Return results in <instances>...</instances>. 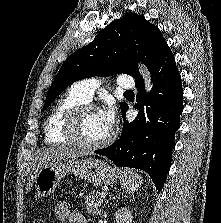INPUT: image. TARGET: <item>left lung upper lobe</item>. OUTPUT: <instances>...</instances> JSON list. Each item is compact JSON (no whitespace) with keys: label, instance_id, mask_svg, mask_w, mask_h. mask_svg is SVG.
Returning <instances> with one entry per match:
<instances>
[{"label":"left lung upper lobe","instance_id":"1","mask_svg":"<svg viewBox=\"0 0 221 223\" xmlns=\"http://www.w3.org/2000/svg\"><path fill=\"white\" fill-rule=\"evenodd\" d=\"M167 47L157 26L142 15L127 13L67 58L49 88L43 110L66 87L80 79L126 73L135 79V83L139 82L142 76L136 63H144L151 72ZM126 106L121 103V111Z\"/></svg>","mask_w":221,"mask_h":223}]
</instances>
